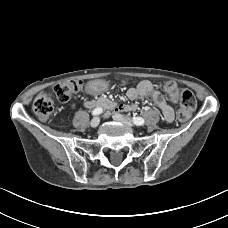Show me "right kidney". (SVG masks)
<instances>
[{
  "label": "right kidney",
  "mask_w": 228,
  "mask_h": 228,
  "mask_svg": "<svg viewBox=\"0 0 228 228\" xmlns=\"http://www.w3.org/2000/svg\"><path fill=\"white\" fill-rule=\"evenodd\" d=\"M74 107H75V104L72 105V108H74Z\"/></svg>",
  "instance_id": "right-kidney-1"
}]
</instances>
